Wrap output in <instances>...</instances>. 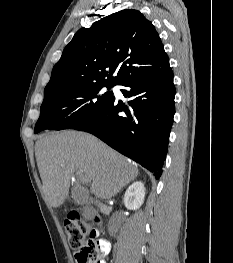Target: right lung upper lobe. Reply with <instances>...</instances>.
Returning <instances> with one entry per match:
<instances>
[{
	"mask_svg": "<svg viewBox=\"0 0 233 263\" xmlns=\"http://www.w3.org/2000/svg\"><path fill=\"white\" fill-rule=\"evenodd\" d=\"M168 67L152 23L137 10H122L76 32L53 67L44 98L89 85H120Z\"/></svg>",
	"mask_w": 233,
	"mask_h": 263,
	"instance_id": "1",
	"label": "right lung upper lobe"
}]
</instances>
